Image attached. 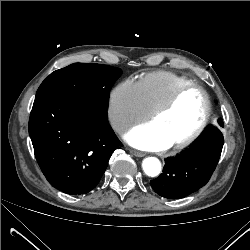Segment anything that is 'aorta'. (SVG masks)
<instances>
[{"label": "aorta", "mask_w": 250, "mask_h": 250, "mask_svg": "<svg viewBox=\"0 0 250 250\" xmlns=\"http://www.w3.org/2000/svg\"><path fill=\"white\" fill-rule=\"evenodd\" d=\"M142 167L145 174L150 177H155L159 175L161 171V163L156 157H148L144 159Z\"/></svg>", "instance_id": "obj_1"}]
</instances>
